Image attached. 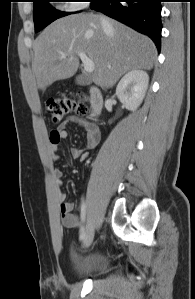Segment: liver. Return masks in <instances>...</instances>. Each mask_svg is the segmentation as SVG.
Here are the masks:
<instances>
[{"instance_id": "6515ba94", "label": "liver", "mask_w": 195, "mask_h": 299, "mask_svg": "<svg viewBox=\"0 0 195 299\" xmlns=\"http://www.w3.org/2000/svg\"><path fill=\"white\" fill-rule=\"evenodd\" d=\"M108 20L110 30H104L100 16L92 13L69 15L47 26L33 44L32 71L38 89L72 77L79 67L78 52L93 60L92 79L104 88L113 86L128 71L150 70L157 56L152 40Z\"/></svg>"}]
</instances>
